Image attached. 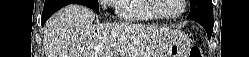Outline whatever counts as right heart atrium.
<instances>
[{
	"label": "right heart atrium",
	"mask_w": 249,
	"mask_h": 57,
	"mask_svg": "<svg viewBox=\"0 0 249 57\" xmlns=\"http://www.w3.org/2000/svg\"><path fill=\"white\" fill-rule=\"evenodd\" d=\"M101 3H106V1H101Z\"/></svg>",
	"instance_id": "1"
}]
</instances>
